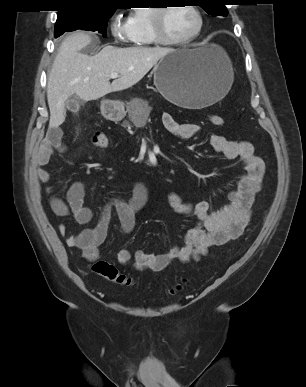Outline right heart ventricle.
Listing matches in <instances>:
<instances>
[{
  "mask_svg": "<svg viewBox=\"0 0 306 387\" xmlns=\"http://www.w3.org/2000/svg\"><path fill=\"white\" fill-rule=\"evenodd\" d=\"M152 8H140L131 12L127 19L129 41L138 47L156 45L151 31L150 17Z\"/></svg>",
  "mask_w": 306,
  "mask_h": 387,
  "instance_id": "1",
  "label": "right heart ventricle"
}]
</instances>
